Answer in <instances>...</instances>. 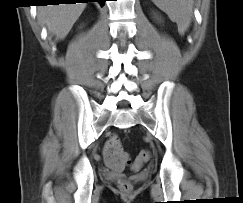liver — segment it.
Segmentation results:
<instances>
[{"instance_id":"obj_1","label":"liver","mask_w":243,"mask_h":203,"mask_svg":"<svg viewBox=\"0 0 243 203\" xmlns=\"http://www.w3.org/2000/svg\"><path fill=\"white\" fill-rule=\"evenodd\" d=\"M85 3L38 7V20L58 39H64L85 9Z\"/></svg>"}]
</instances>
